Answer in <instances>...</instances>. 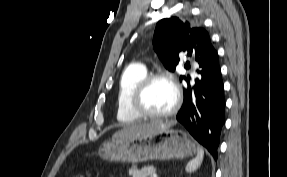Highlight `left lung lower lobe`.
Segmentation results:
<instances>
[{
	"label": "left lung lower lobe",
	"instance_id": "left-lung-lower-lobe-1",
	"mask_svg": "<svg viewBox=\"0 0 287 177\" xmlns=\"http://www.w3.org/2000/svg\"><path fill=\"white\" fill-rule=\"evenodd\" d=\"M198 63L199 77L194 84L190 77L184 81V102L176 118L217 160L225 122V98L218 54L213 46Z\"/></svg>",
	"mask_w": 287,
	"mask_h": 177
}]
</instances>
